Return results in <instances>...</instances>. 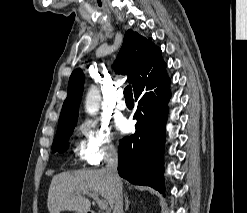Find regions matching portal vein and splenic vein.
Listing matches in <instances>:
<instances>
[{"mask_svg": "<svg viewBox=\"0 0 247 213\" xmlns=\"http://www.w3.org/2000/svg\"><path fill=\"white\" fill-rule=\"evenodd\" d=\"M87 196L93 198L97 202V204H98V206H99V208L101 210H107L108 209V203H107V201L106 200L99 199V197H98L97 194L90 192V193H87Z\"/></svg>", "mask_w": 247, "mask_h": 213, "instance_id": "portal-vein-and-splenic-vein-1", "label": "portal vein and splenic vein"}]
</instances>
